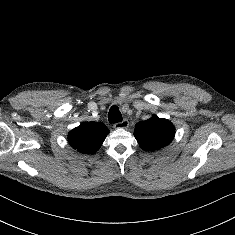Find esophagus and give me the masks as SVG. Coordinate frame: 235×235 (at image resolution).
<instances>
[{"instance_id": "obj_1", "label": "esophagus", "mask_w": 235, "mask_h": 235, "mask_svg": "<svg viewBox=\"0 0 235 235\" xmlns=\"http://www.w3.org/2000/svg\"><path fill=\"white\" fill-rule=\"evenodd\" d=\"M129 126V122L127 119H124L122 122H118L114 124V128L116 129H126Z\"/></svg>"}]
</instances>
